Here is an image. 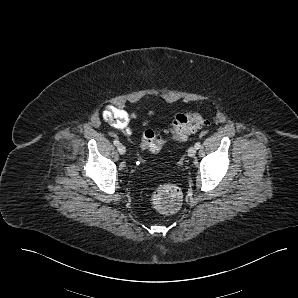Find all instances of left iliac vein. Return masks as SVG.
<instances>
[{
    "label": "left iliac vein",
    "instance_id": "1",
    "mask_svg": "<svg viewBox=\"0 0 298 298\" xmlns=\"http://www.w3.org/2000/svg\"><path fill=\"white\" fill-rule=\"evenodd\" d=\"M196 152H197V149L194 146H192L188 149V156L194 157L196 155Z\"/></svg>",
    "mask_w": 298,
    "mask_h": 298
}]
</instances>
